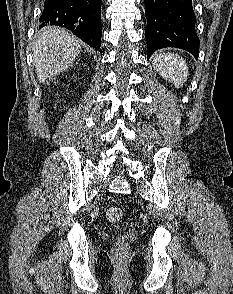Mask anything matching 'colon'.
<instances>
[{"label": "colon", "mask_w": 233, "mask_h": 294, "mask_svg": "<svg viewBox=\"0 0 233 294\" xmlns=\"http://www.w3.org/2000/svg\"><path fill=\"white\" fill-rule=\"evenodd\" d=\"M106 217L110 222H119L123 217V210L118 206H111L106 211ZM129 254V249L126 240L121 236L114 248V255L118 260H124Z\"/></svg>", "instance_id": "1"}]
</instances>
